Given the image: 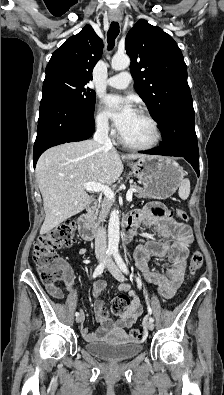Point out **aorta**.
<instances>
[{
  "mask_svg": "<svg viewBox=\"0 0 224 395\" xmlns=\"http://www.w3.org/2000/svg\"><path fill=\"white\" fill-rule=\"evenodd\" d=\"M130 65V58L123 54H116L111 60V67L116 71L124 70ZM119 211L113 210L108 224V251L118 252L120 228Z\"/></svg>",
  "mask_w": 224,
  "mask_h": 395,
  "instance_id": "1",
  "label": "aorta"
}]
</instances>
